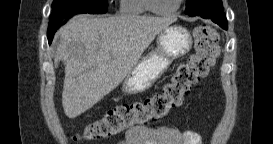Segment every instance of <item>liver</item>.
I'll list each match as a JSON object with an SVG mask.
<instances>
[{
	"label": "liver",
	"mask_w": 273,
	"mask_h": 144,
	"mask_svg": "<svg viewBox=\"0 0 273 144\" xmlns=\"http://www.w3.org/2000/svg\"><path fill=\"white\" fill-rule=\"evenodd\" d=\"M173 18L74 16L60 31L54 64L65 63L62 106L76 118L115 89Z\"/></svg>",
	"instance_id": "1"
}]
</instances>
